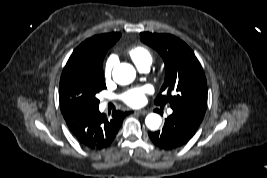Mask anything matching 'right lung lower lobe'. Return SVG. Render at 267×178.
Returning <instances> with one entry per match:
<instances>
[{"label": "right lung lower lobe", "mask_w": 267, "mask_h": 178, "mask_svg": "<svg viewBox=\"0 0 267 178\" xmlns=\"http://www.w3.org/2000/svg\"><path fill=\"white\" fill-rule=\"evenodd\" d=\"M67 126L75 139L86 148L102 150L111 145L126 113L113 110L111 118L99 108L74 106L62 111Z\"/></svg>", "instance_id": "98d812e1"}]
</instances>
